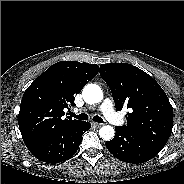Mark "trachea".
Instances as JSON below:
<instances>
[{"mask_svg": "<svg viewBox=\"0 0 184 184\" xmlns=\"http://www.w3.org/2000/svg\"><path fill=\"white\" fill-rule=\"evenodd\" d=\"M70 115L78 120H88V115L85 113H82L79 115H76L75 113H71ZM93 121L98 122V123H103V119L99 116H94Z\"/></svg>", "mask_w": 184, "mask_h": 184, "instance_id": "obj_1", "label": "trachea"}]
</instances>
